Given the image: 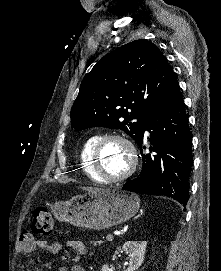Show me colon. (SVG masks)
Here are the masks:
<instances>
[{
    "instance_id": "colon-1",
    "label": "colon",
    "mask_w": 221,
    "mask_h": 271,
    "mask_svg": "<svg viewBox=\"0 0 221 271\" xmlns=\"http://www.w3.org/2000/svg\"><path fill=\"white\" fill-rule=\"evenodd\" d=\"M54 222L50 211L47 208H38L29 227L24 230L22 238L24 241H31L34 235L50 234L53 231Z\"/></svg>"
}]
</instances>
